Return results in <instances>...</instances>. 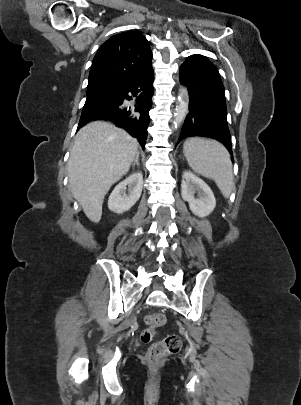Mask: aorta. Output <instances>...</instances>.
<instances>
[{
  "mask_svg": "<svg viewBox=\"0 0 301 405\" xmlns=\"http://www.w3.org/2000/svg\"><path fill=\"white\" fill-rule=\"evenodd\" d=\"M188 91L185 86L179 89L178 104L174 112L173 126L179 127L188 114Z\"/></svg>",
  "mask_w": 301,
  "mask_h": 405,
  "instance_id": "aorta-1",
  "label": "aorta"
}]
</instances>
